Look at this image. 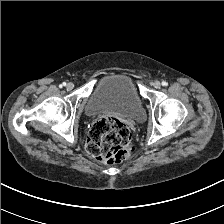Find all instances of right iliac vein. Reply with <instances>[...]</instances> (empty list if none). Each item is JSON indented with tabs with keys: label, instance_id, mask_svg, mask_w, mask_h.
Wrapping results in <instances>:
<instances>
[{
	"label": "right iliac vein",
	"instance_id": "63e3f726",
	"mask_svg": "<svg viewBox=\"0 0 224 224\" xmlns=\"http://www.w3.org/2000/svg\"><path fill=\"white\" fill-rule=\"evenodd\" d=\"M74 88V84L72 82H69L67 85H66V89L67 90H72Z\"/></svg>",
	"mask_w": 224,
	"mask_h": 224
}]
</instances>
